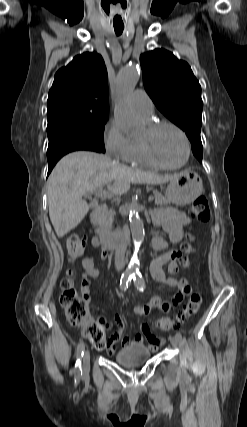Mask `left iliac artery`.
<instances>
[{"mask_svg":"<svg viewBox=\"0 0 247 427\" xmlns=\"http://www.w3.org/2000/svg\"><path fill=\"white\" fill-rule=\"evenodd\" d=\"M133 281H134V285H135V287L138 289V290H140V291H143L144 290V288H145V281H144V278L142 277V275L139 273V272H137V273H135V274H133ZM176 336L181 340L182 339V335H181V333H179V332H177L176 333Z\"/></svg>","mask_w":247,"mask_h":427,"instance_id":"left-iliac-artery-1","label":"left iliac artery"}]
</instances>
